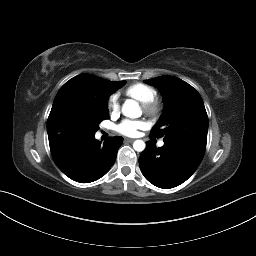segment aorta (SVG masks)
I'll use <instances>...</instances> for the list:
<instances>
[{
  "mask_svg": "<svg viewBox=\"0 0 256 256\" xmlns=\"http://www.w3.org/2000/svg\"><path fill=\"white\" fill-rule=\"evenodd\" d=\"M122 114L129 118H138L142 115L141 108L138 102L132 99H128L122 106ZM145 142L143 140H135L133 148L137 152H142L145 149Z\"/></svg>",
  "mask_w": 256,
  "mask_h": 256,
  "instance_id": "1",
  "label": "aorta"
}]
</instances>
